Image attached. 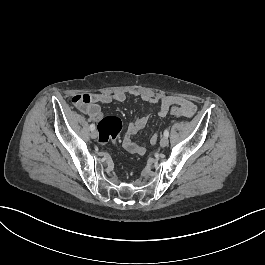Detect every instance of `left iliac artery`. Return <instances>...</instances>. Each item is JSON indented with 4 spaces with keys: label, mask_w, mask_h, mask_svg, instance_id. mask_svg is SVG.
<instances>
[{
    "label": "left iliac artery",
    "mask_w": 265,
    "mask_h": 265,
    "mask_svg": "<svg viewBox=\"0 0 265 265\" xmlns=\"http://www.w3.org/2000/svg\"><path fill=\"white\" fill-rule=\"evenodd\" d=\"M164 136L168 138V136H169V130H168V129H166V130L164 131Z\"/></svg>",
    "instance_id": "left-iliac-artery-1"
}]
</instances>
